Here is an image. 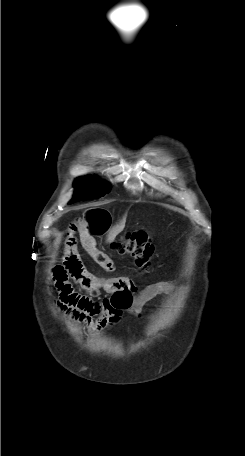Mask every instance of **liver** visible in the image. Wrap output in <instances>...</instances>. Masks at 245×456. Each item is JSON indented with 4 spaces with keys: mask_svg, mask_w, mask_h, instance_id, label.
Returning <instances> with one entry per match:
<instances>
[{
    "mask_svg": "<svg viewBox=\"0 0 245 456\" xmlns=\"http://www.w3.org/2000/svg\"><path fill=\"white\" fill-rule=\"evenodd\" d=\"M126 217H124L119 224L115 225L107 235V242H112L116 238V236L123 231L125 227Z\"/></svg>",
    "mask_w": 245,
    "mask_h": 456,
    "instance_id": "1",
    "label": "liver"
}]
</instances>
